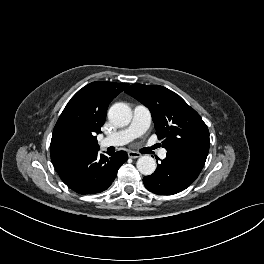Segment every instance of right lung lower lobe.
Listing matches in <instances>:
<instances>
[{
    "instance_id": "98d812e1",
    "label": "right lung lower lobe",
    "mask_w": 264,
    "mask_h": 264,
    "mask_svg": "<svg viewBox=\"0 0 264 264\" xmlns=\"http://www.w3.org/2000/svg\"><path fill=\"white\" fill-rule=\"evenodd\" d=\"M97 152L57 169L70 189L82 195L106 190L116 178L120 166L128 159L125 151L109 154V157Z\"/></svg>"
}]
</instances>
